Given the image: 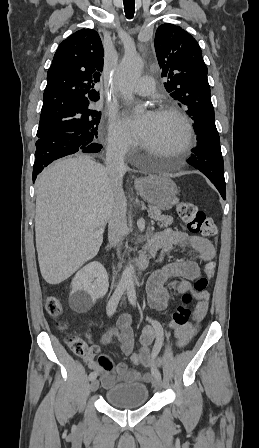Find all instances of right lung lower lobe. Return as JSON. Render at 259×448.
<instances>
[{"instance_id": "1", "label": "right lung lower lobe", "mask_w": 259, "mask_h": 448, "mask_svg": "<svg viewBox=\"0 0 259 448\" xmlns=\"http://www.w3.org/2000/svg\"><path fill=\"white\" fill-rule=\"evenodd\" d=\"M101 148V144L87 143L85 138L74 133L58 132L38 138L33 167V182L44 167L54 160L76 152L97 153Z\"/></svg>"}]
</instances>
